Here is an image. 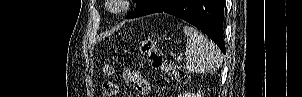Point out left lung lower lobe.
<instances>
[{
  "mask_svg": "<svg viewBox=\"0 0 302 97\" xmlns=\"http://www.w3.org/2000/svg\"><path fill=\"white\" fill-rule=\"evenodd\" d=\"M225 0H150L139 11H133L127 19L147 14L165 12L179 17L207 34L225 54L223 19Z\"/></svg>",
  "mask_w": 302,
  "mask_h": 97,
  "instance_id": "1",
  "label": "left lung lower lobe"
}]
</instances>
